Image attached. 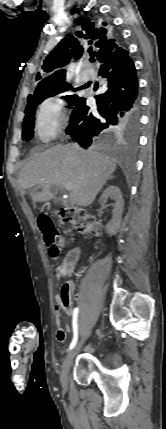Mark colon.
I'll list each match as a JSON object with an SVG mask.
<instances>
[{
  "instance_id": "1",
  "label": "colon",
  "mask_w": 166,
  "mask_h": 429,
  "mask_svg": "<svg viewBox=\"0 0 166 429\" xmlns=\"http://www.w3.org/2000/svg\"><path fill=\"white\" fill-rule=\"evenodd\" d=\"M60 218L65 223H69L81 232L94 234L99 230L96 218L87 210L79 207H67L60 211ZM39 228L44 236L46 248L51 257L56 258L60 255L63 247V239L52 220L48 216H40L38 219ZM64 291H69L68 284H64Z\"/></svg>"
}]
</instances>
